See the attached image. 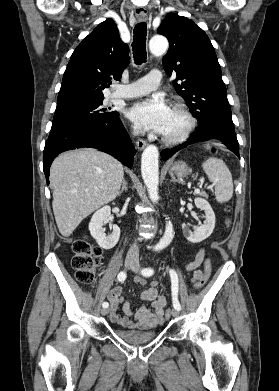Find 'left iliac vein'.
<instances>
[{
	"label": "left iliac vein",
	"instance_id": "4c4485c4",
	"mask_svg": "<svg viewBox=\"0 0 279 391\" xmlns=\"http://www.w3.org/2000/svg\"><path fill=\"white\" fill-rule=\"evenodd\" d=\"M131 270L133 271V272H135V273H139V271H140V266H139V263L136 261L135 262V264L131 267ZM172 316L173 317H178L179 316V310H177V309H173L172 310Z\"/></svg>",
	"mask_w": 279,
	"mask_h": 391
}]
</instances>
